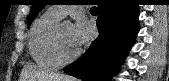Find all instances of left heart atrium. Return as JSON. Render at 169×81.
I'll list each match as a JSON object with an SVG mask.
<instances>
[{"mask_svg":"<svg viewBox=\"0 0 169 81\" xmlns=\"http://www.w3.org/2000/svg\"><path fill=\"white\" fill-rule=\"evenodd\" d=\"M90 27L86 19L78 16L71 26V38L73 44L78 48L82 46L89 38Z\"/></svg>","mask_w":169,"mask_h":81,"instance_id":"left-heart-atrium-1","label":"left heart atrium"}]
</instances>
